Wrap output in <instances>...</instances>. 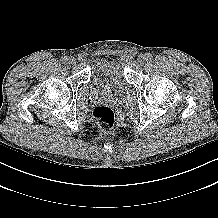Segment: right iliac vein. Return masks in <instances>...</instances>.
I'll list each match as a JSON object with an SVG mask.
<instances>
[{"label":"right iliac vein","mask_w":218,"mask_h":218,"mask_svg":"<svg viewBox=\"0 0 218 218\" xmlns=\"http://www.w3.org/2000/svg\"><path fill=\"white\" fill-rule=\"evenodd\" d=\"M68 64L73 65L75 64V59L73 57L68 58Z\"/></svg>","instance_id":"right-iliac-vein-1"}]
</instances>
